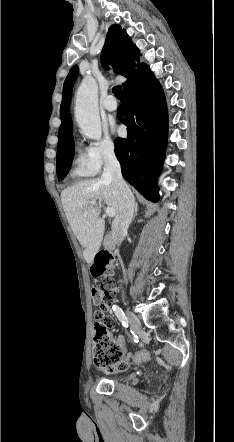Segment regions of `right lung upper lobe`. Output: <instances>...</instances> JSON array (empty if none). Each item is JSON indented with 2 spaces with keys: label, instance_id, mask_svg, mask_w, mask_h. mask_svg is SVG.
Segmentation results:
<instances>
[{
  "label": "right lung upper lobe",
  "instance_id": "right-lung-upper-lobe-1",
  "mask_svg": "<svg viewBox=\"0 0 234 442\" xmlns=\"http://www.w3.org/2000/svg\"><path fill=\"white\" fill-rule=\"evenodd\" d=\"M139 49L132 43L125 29L120 25H112L107 33L105 45L101 52V62L107 68L111 64L115 72L126 77L123 88L133 77H136L146 70L148 66L139 62ZM78 75V68L75 66L67 75L63 85V98L60 106L61 126L59 129V142L57 147L65 144L73 135L72 120L69 113V106L72 96V87Z\"/></svg>",
  "mask_w": 234,
  "mask_h": 442
}]
</instances>
